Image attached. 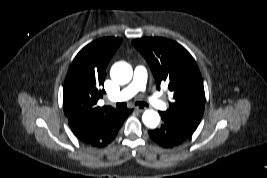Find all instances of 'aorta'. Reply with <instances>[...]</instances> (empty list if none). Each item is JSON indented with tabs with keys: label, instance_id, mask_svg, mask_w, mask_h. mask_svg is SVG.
I'll use <instances>...</instances> for the list:
<instances>
[{
	"label": "aorta",
	"instance_id": "762f6f07",
	"mask_svg": "<svg viewBox=\"0 0 267 178\" xmlns=\"http://www.w3.org/2000/svg\"><path fill=\"white\" fill-rule=\"evenodd\" d=\"M132 74V67L124 61L115 63L110 70L112 80L121 85L130 82ZM142 121L147 127L156 128L160 122V116L154 110H146L142 115Z\"/></svg>",
	"mask_w": 267,
	"mask_h": 178
}]
</instances>
